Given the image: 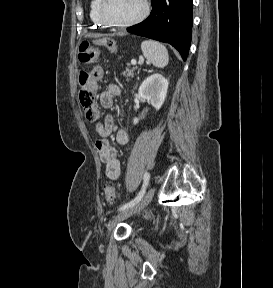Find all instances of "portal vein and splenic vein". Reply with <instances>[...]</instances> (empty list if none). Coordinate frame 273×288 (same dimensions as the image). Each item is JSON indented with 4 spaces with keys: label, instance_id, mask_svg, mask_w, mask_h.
<instances>
[{
    "label": "portal vein and splenic vein",
    "instance_id": "1",
    "mask_svg": "<svg viewBox=\"0 0 273 288\" xmlns=\"http://www.w3.org/2000/svg\"><path fill=\"white\" fill-rule=\"evenodd\" d=\"M131 64H132V65H136V61H135V60H132V61H131Z\"/></svg>",
    "mask_w": 273,
    "mask_h": 288
}]
</instances>
